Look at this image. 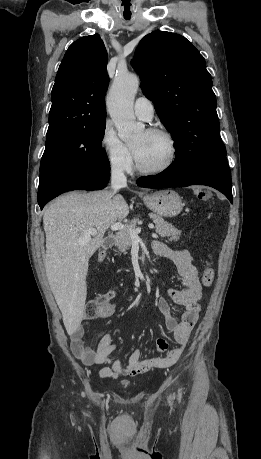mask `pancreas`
<instances>
[{"label":"pancreas","mask_w":261,"mask_h":459,"mask_svg":"<svg viewBox=\"0 0 261 459\" xmlns=\"http://www.w3.org/2000/svg\"><path fill=\"white\" fill-rule=\"evenodd\" d=\"M150 218L155 223V230L161 237H167L169 240L177 241L181 231L175 228L173 225L166 222L161 216L150 213ZM138 219H133L131 222L125 225V228L119 231L115 236V245L118 249L126 253V250L131 246L132 238L129 234L130 229H136Z\"/></svg>","instance_id":"pancreas-1"}]
</instances>
